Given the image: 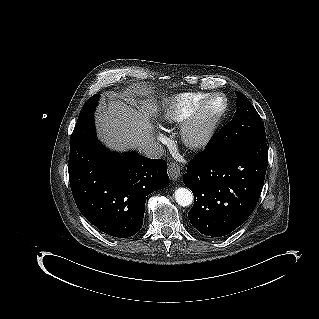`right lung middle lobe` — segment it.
Segmentation results:
<instances>
[{
	"label": "right lung middle lobe",
	"mask_w": 319,
	"mask_h": 319,
	"mask_svg": "<svg viewBox=\"0 0 319 319\" xmlns=\"http://www.w3.org/2000/svg\"><path fill=\"white\" fill-rule=\"evenodd\" d=\"M98 98H99V94H95L94 96L90 97L85 102L77 121H81L93 113L94 109L97 106Z\"/></svg>",
	"instance_id": "dd1d6c3e"
}]
</instances>
